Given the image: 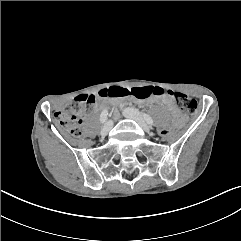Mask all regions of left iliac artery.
<instances>
[{
  "mask_svg": "<svg viewBox=\"0 0 241 241\" xmlns=\"http://www.w3.org/2000/svg\"><path fill=\"white\" fill-rule=\"evenodd\" d=\"M144 116V119L146 120V122L150 125H153L154 124V121L153 119L148 115V114H143Z\"/></svg>",
  "mask_w": 241,
  "mask_h": 241,
  "instance_id": "left-iliac-artery-1",
  "label": "left iliac artery"
}]
</instances>
